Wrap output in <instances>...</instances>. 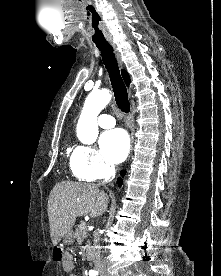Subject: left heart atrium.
I'll return each instance as SVG.
<instances>
[{"label": "left heart atrium", "mask_w": 221, "mask_h": 276, "mask_svg": "<svg viewBox=\"0 0 221 276\" xmlns=\"http://www.w3.org/2000/svg\"><path fill=\"white\" fill-rule=\"evenodd\" d=\"M100 147L104 157L112 163L125 160L129 152V138L122 129L105 132L100 138Z\"/></svg>", "instance_id": "obj_1"}]
</instances>
